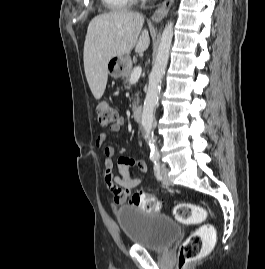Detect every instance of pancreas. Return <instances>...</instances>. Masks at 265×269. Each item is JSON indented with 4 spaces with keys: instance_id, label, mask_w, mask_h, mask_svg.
<instances>
[{
    "instance_id": "pancreas-1",
    "label": "pancreas",
    "mask_w": 265,
    "mask_h": 269,
    "mask_svg": "<svg viewBox=\"0 0 265 269\" xmlns=\"http://www.w3.org/2000/svg\"><path fill=\"white\" fill-rule=\"evenodd\" d=\"M132 70H130L124 77V84H130V78H131ZM139 104V95L134 99L133 107H136V105Z\"/></svg>"
}]
</instances>
